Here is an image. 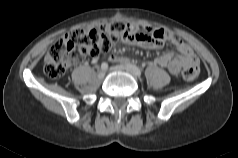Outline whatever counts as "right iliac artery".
<instances>
[{"label": "right iliac artery", "mask_w": 238, "mask_h": 158, "mask_svg": "<svg viewBox=\"0 0 238 158\" xmlns=\"http://www.w3.org/2000/svg\"><path fill=\"white\" fill-rule=\"evenodd\" d=\"M101 69H102L103 71L107 70V69H108V64H107L106 62H103V63L101 64Z\"/></svg>", "instance_id": "82829eb1"}]
</instances>
